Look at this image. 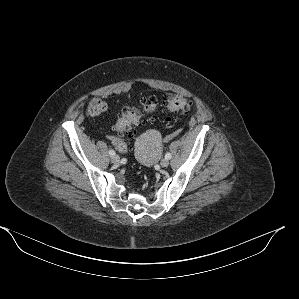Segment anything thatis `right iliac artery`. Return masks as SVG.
Segmentation results:
<instances>
[{"label": "right iliac artery", "instance_id": "1", "mask_svg": "<svg viewBox=\"0 0 299 299\" xmlns=\"http://www.w3.org/2000/svg\"><path fill=\"white\" fill-rule=\"evenodd\" d=\"M108 153H109V155H110V156H113V155H115V151H114V150H109V152H108Z\"/></svg>", "mask_w": 299, "mask_h": 299}]
</instances>
